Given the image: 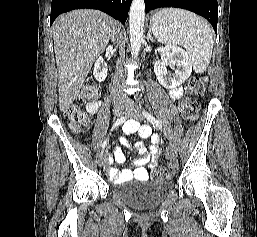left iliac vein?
Returning <instances> with one entry per match:
<instances>
[{
  "instance_id": "obj_1",
  "label": "left iliac vein",
  "mask_w": 257,
  "mask_h": 237,
  "mask_svg": "<svg viewBox=\"0 0 257 237\" xmlns=\"http://www.w3.org/2000/svg\"><path fill=\"white\" fill-rule=\"evenodd\" d=\"M128 115L131 117V118H134L136 120H141L143 119V116L141 114V112L137 109H131L129 112H128ZM167 151H168V154L171 158H174L177 154V150H176V147L175 145L173 144L172 141H169L168 142V146H167Z\"/></svg>"
}]
</instances>
